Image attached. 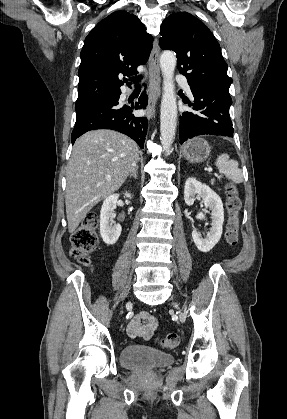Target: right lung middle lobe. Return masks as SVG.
<instances>
[{
	"mask_svg": "<svg viewBox=\"0 0 287 419\" xmlns=\"http://www.w3.org/2000/svg\"><path fill=\"white\" fill-rule=\"evenodd\" d=\"M117 97H118V96H116V97L106 98V99H103V100H100V101H96V102H93V103H91V104L84 105V106H76V107H75V110H76V112H77V114H76V118H78V117L82 116L83 114L87 113L88 111H90V110H92V109H94V108L100 107V106H102L103 104H106V103H108V102L113 101V100H114L115 98H117Z\"/></svg>",
	"mask_w": 287,
	"mask_h": 419,
	"instance_id": "right-lung-middle-lobe-1",
	"label": "right lung middle lobe"
}]
</instances>
